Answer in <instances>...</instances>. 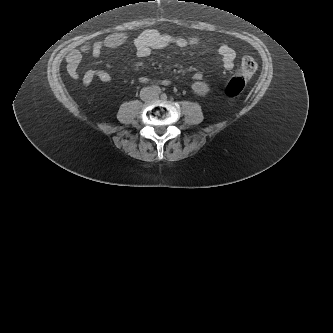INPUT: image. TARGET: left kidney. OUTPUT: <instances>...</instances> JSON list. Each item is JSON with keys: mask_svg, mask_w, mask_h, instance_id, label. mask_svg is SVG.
<instances>
[{"mask_svg": "<svg viewBox=\"0 0 333 333\" xmlns=\"http://www.w3.org/2000/svg\"><path fill=\"white\" fill-rule=\"evenodd\" d=\"M200 93H205V91H202V92H200Z\"/></svg>", "mask_w": 333, "mask_h": 333, "instance_id": "5707ae66", "label": "left kidney"}]
</instances>
